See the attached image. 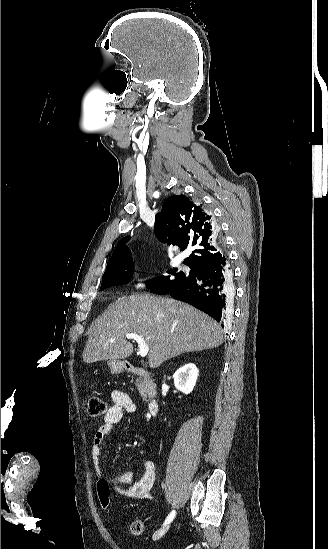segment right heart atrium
I'll return each mask as SVG.
<instances>
[{"label": "right heart atrium", "mask_w": 328, "mask_h": 549, "mask_svg": "<svg viewBox=\"0 0 328 549\" xmlns=\"http://www.w3.org/2000/svg\"><path fill=\"white\" fill-rule=\"evenodd\" d=\"M150 284L149 274L147 272H139L133 275L127 284V294L129 303H135V299L139 293L147 288Z\"/></svg>", "instance_id": "d8ad5b80"}]
</instances>
